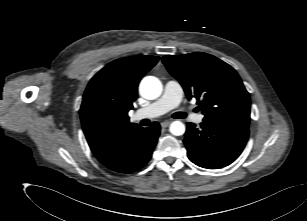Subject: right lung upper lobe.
<instances>
[{
  "mask_svg": "<svg viewBox=\"0 0 307 221\" xmlns=\"http://www.w3.org/2000/svg\"><path fill=\"white\" fill-rule=\"evenodd\" d=\"M158 60L156 56L118 59L90 80L83 95L80 117L95 156L139 126L130 123L127 113L133 108L139 81Z\"/></svg>",
  "mask_w": 307,
  "mask_h": 221,
  "instance_id": "1",
  "label": "right lung upper lobe"
}]
</instances>
